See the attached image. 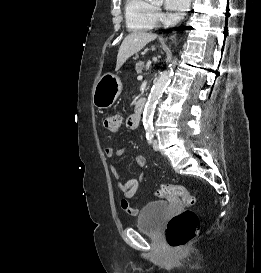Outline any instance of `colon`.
Segmentation results:
<instances>
[{
	"mask_svg": "<svg viewBox=\"0 0 261 273\" xmlns=\"http://www.w3.org/2000/svg\"><path fill=\"white\" fill-rule=\"evenodd\" d=\"M104 126L112 132L119 131L121 117L119 115L107 116L104 119ZM156 195L168 198L180 197L189 207L196 203L195 195L180 184L163 185L156 191ZM198 231V216L193 211L186 209L169 220L166 227V239L172 248L179 250L191 242L197 236Z\"/></svg>",
	"mask_w": 261,
	"mask_h": 273,
	"instance_id": "5ec220e1",
	"label": "colon"
}]
</instances>
